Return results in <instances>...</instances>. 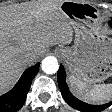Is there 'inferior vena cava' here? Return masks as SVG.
I'll return each mask as SVG.
<instances>
[{
	"mask_svg": "<svg viewBox=\"0 0 112 112\" xmlns=\"http://www.w3.org/2000/svg\"><path fill=\"white\" fill-rule=\"evenodd\" d=\"M21 57L25 63H30L36 58L34 53H26V54H23Z\"/></svg>",
	"mask_w": 112,
	"mask_h": 112,
	"instance_id": "obj_1",
	"label": "inferior vena cava"
}]
</instances>
